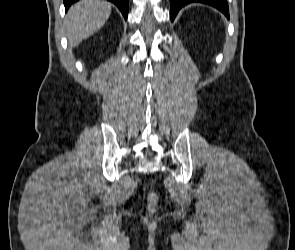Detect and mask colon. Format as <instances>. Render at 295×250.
Instances as JSON below:
<instances>
[{
    "instance_id": "1",
    "label": "colon",
    "mask_w": 295,
    "mask_h": 250,
    "mask_svg": "<svg viewBox=\"0 0 295 250\" xmlns=\"http://www.w3.org/2000/svg\"><path fill=\"white\" fill-rule=\"evenodd\" d=\"M158 205V197L154 192H150L148 195V211L154 212Z\"/></svg>"
}]
</instances>
